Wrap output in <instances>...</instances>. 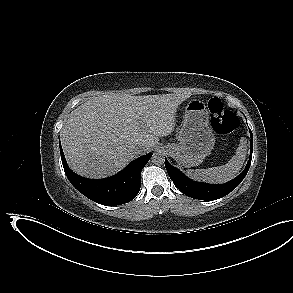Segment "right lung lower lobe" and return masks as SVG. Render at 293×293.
Returning a JSON list of instances; mask_svg holds the SVG:
<instances>
[{"instance_id":"obj_1","label":"right lung lower lobe","mask_w":293,"mask_h":293,"mask_svg":"<svg viewBox=\"0 0 293 293\" xmlns=\"http://www.w3.org/2000/svg\"><path fill=\"white\" fill-rule=\"evenodd\" d=\"M64 171L71 184L90 200L103 205H121L133 200L141 187V170L152 153L132 161L118 174L104 179H87L75 174L67 165L60 146Z\"/></svg>"}]
</instances>
